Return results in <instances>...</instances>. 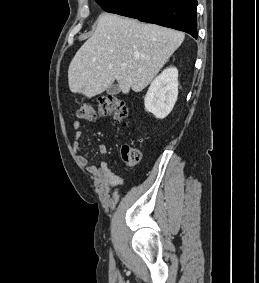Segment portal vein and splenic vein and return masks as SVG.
I'll return each mask as SVG.
<instances>
[{
  "instance_id": "portal-vein-and-splenic-vein-1",
  "label": "portal vein and splenic vein",
  "mask_w": 259,
  "mask_h": 283,
  "mask_svg": "<svg viewBox=\"0 0 259 283\" xmlns=\"http://www.w3.org/2000/svg\"><path fill=\"white\" fill-rule=\"evenodd\" d=\"M126 66H127V65H126L125 63H123V64L121 65L122 68H126Z\"/></svg>"
}]
</instances>
